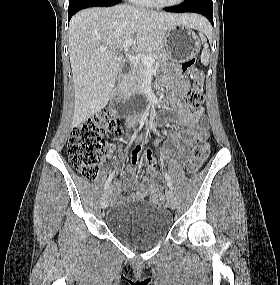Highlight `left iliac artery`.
I'll return each instance as SVG.
<instances>
[{"label": "left iliac artery", "instance_id": "44dca946", "mask_svg": "<svg viewBox=\"0 0 280 285\" xmlns=\"http://www.w3.org/2000/svg\"><path fill=\"white\" fill-rule=\"evenodd\" d=\"M165 180L167 182V185L170 189H172V181H171V178L169 176V174L167 172H165Z\"/></svg>", "mask_w": 280, "mask_h": 285}]
</instances>
